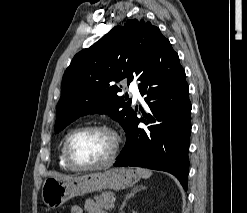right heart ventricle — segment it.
Instances as JSON below:
<instances>
[{
	"label": "right heart ventricle",
	"mask_w": 247,
	"mask_h": 213,
	"mask_svg": "<svg viewBox=\"0 0 247 213\" xmlns=\"http://www.w3.org/2000/svg\"><path fill=\"white\" fill-rule=\"evenodd\" d=\"M63 144L64 143H62L59 151V166L63 170L72 171L74 169H72L65 161L64 153H63Z\"/></svg>",
	"instance_id": "obj_1"
}]
</instances>
